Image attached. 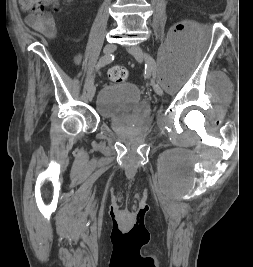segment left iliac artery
<instances>
[{
	"mask_svg": "<svg viewBox=\"0 0 253 267\" xmlns=\"http://www.w3.org/2000/svg\"><path fill=\"white\" fill-rule=\"evenodd\" d=\"M145 67L147 68V71L151 69L153 72V75L156 74V63L152 56L149 55L147 57Z\"/></svg>",
	"mask_w": 253,
	"mask_h": 267,
	"instance_id": "44dca946",
	"label": "left iliac artery"
}]
</instances>
